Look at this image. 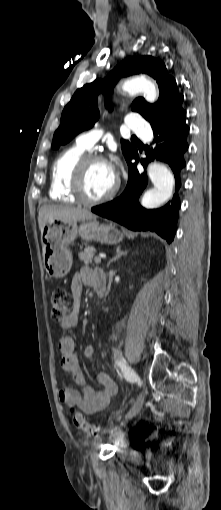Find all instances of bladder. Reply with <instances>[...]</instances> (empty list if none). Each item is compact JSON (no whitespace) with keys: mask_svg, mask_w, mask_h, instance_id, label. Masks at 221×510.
I'll list each match as a JSON object with an SVG mask.
<instances>
[{"mask_svg":"<svg viewBox=\"0 0 221 510\" xmlns=\"http://www.w3.org/2000/svg\"><path fill=\"white\" fill-rule=\"evenodd\" d=\"M128 445H129V441H124L123 443H121V444L119 445V448H121V449H125V448H127V447H128Z\"/></svg>","mask_w":221,"mask_h":510,"instance_id":"1","label":"bladder"}]
</instances>
